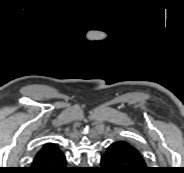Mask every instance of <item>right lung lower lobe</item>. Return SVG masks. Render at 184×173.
<instances>
[{"mask_svg": "<svg viewBox=\"0 0 184 173\" xmlns=\"http://www.w3.org/2000/svg\"><path fill=\"white\" fill-rule=\"evenodd\" d=\"M27 173H71V169L66 166V158L58 148L38 152L34 158L32 167Z\"/></svg>", "mask_w": 184, "mask_h": 173, "instance_id": "98d812e1", "label": "right lung lower lobe"}]
</instances>
